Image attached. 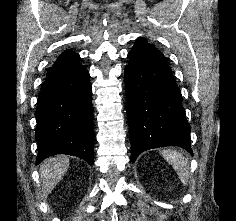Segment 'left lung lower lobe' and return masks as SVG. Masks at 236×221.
<instances>
[{"label":"left lung lower lobe","instance_id":"left-lung-lower-lobe-1","mask_svg":"<svg viewBox=\"0 0 236 221\" xmlns=\"http://www.w3.org/2000/svg\"><path fill=\"white\" fill-rule=\"evenodd\" d=\"M128 58L124 74L132 162L143 151L164 146L192 154L191 127L166 58L143 38L136 40Z\"/></svg>","mask_w":236,"mask_h":221}]
</instances>
